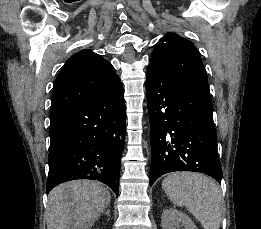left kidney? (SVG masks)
I'll return each instance as SVG.
<instances>
[{"mask_svg": "<svg viewBox=\"0 0 261 229\" xmlns=\"http://www.w3.org/2000/svg\"><path fill=\"white\" fill-rule=\"evenodd\" d=\"M162 229H176V227H184V229H197L193 221L188 215L177 211V209H164L161 217Z\"/></svg>", "mask_w": 261, "mask_h": 229, "instance_id": "5707ae66", "label": "left kidney"}]
</instances>
